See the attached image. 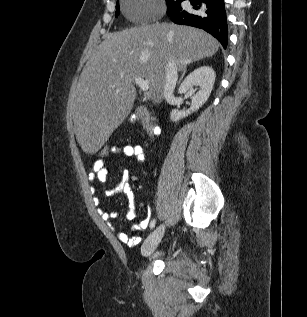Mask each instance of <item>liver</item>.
<instances>
[{"mask_svg":"<svg viewBox=\"0 0 307 317\" xmlns=\"http://www.w3.org/2000/svg\"><path fill=\"white\" fill-rule=\"evenodd\" d=\"M219 42L203 30L168 23L135 26L106 35L84 66L72 101L77 141L98 151L130 113L135 78L149 81V97L163 98L168 60L178 70L213 56Z\"/></svg>","mask_w":307,"mask_h":317,"instance_id":"6515ba94","label":"liver"}]
</instances>
